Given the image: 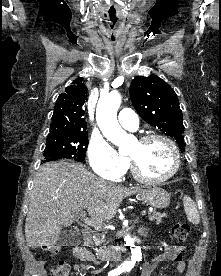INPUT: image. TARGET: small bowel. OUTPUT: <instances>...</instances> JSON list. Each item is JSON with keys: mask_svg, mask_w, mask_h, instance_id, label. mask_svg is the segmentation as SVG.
I'll list each match as a JSON object with an SVG mask.
<instances>
[{"mask_svg": "<svg viewBox=\"0 0 221 276\" xmlns=\"http://www.w3.org/2000/svg\"><path fill=\"white\" fill-rule=\"evenodd\" d=\"M164 253L160 256H157L153 259L147 260L142 268V276H150L154 269L160 262L163 261H172L177 265V271L183 273L185 270V263L182 258L183 246H163ZM75 256L82 261H98L94 260L92 253L86 248H75Z\"/></svg>", "mask_w": 221, "mask_h": 276, "instance_id": "1", "label": "small bowel"}]
</instances>
